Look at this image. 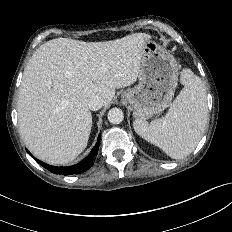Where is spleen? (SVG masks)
I'll use <instances>...</instances> for the list:
<instances>
[{
	"label": "spleen",
	"instance_id": "obj_1",
	"mask_svg": "<svg viewBox=\"0 0 232 232\" xmlns=\"http://www.w3.org/2000/svg\"><path fill=\"white\" fill-rule=\"evenodd\" d=\"M184 88L173 101L166 117L150 124L135 120V131L173 159L189 155L200 141L208 119L206 92L202 80L190 69L181 72Z\"/></svg>",
	"mask_w": 232,
	"mask_h": 232
}]
</instances>
